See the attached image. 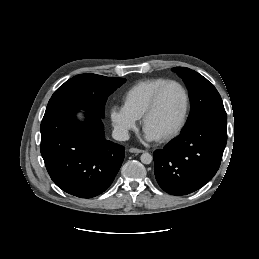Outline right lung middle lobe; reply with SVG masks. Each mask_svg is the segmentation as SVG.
I'll list each match as a JSON object with an SVG mask.
<instances>
[{
  "label": "right lung middle lobe",
  "mask_w": 259,
  "mask_h": 259,
  "mask_svg": "<svg viewBox=\"0 0 259 259\" xmlns=\"http://www.w3.org/2000/svg\"><path fill=\"white\" fill-rule=\"evenodd\" d=\"M125 81L124 78H110L91 73L74 76L54 92L43 118L78 109L103 118L107 97Z\"/></svg>",
  "instance_id": "dd1d6c3e"
}]
</instances>
